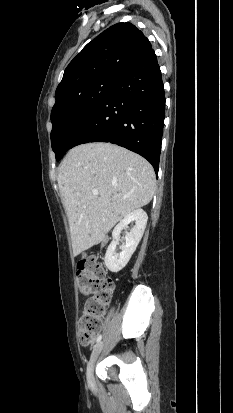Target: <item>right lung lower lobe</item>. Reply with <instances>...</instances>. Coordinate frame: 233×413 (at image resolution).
Returning a JSON list of instances; mask_svg holds the SVG:
<instances>
[{
    "label": "right lung lower lobe",
    "instance_id": "1",
    "mask_svg": "<svg viewBox=\"0 0 233 413\" xmlns=\"http://www.w3.org/2000/svg\"><path fill=\"white\" fill-rule=\"evenodd\" d=\"M165 118V95L153 49L121 72L70 148L110 142L146 158L156 174Z\"/></svg>",
    "mask_w": 233,
    "mask_h": 413
}]
</instances>
